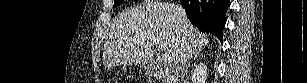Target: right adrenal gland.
<instances>
[{
  "label": "right adrenal gland",
  "mask_w": 307,
  "mask_h": 83,
  "mask_svg": "<svg viewBox=\"0 0 307 83\" xmlns=\"http://www.w3.org/2000/svg\"><path fill=\"white\" fill-rule=\"evenodd\" d=\"M201 51H202V48H191L189 57H188L189 67H190L192 59H195L201 56Z\"/></svg>",
  "instance_id": "obj_1"
}]
</instances>
